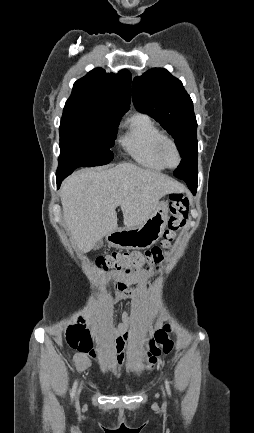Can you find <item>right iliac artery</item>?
<instances>
[{
	"instance_id": "right-iliac-artery-1",
	"label": "right iliac artery",
	"mask_w": 254,
	"mask_h": 433,
	"mask_svg": "<svg viewBox=\"0 0 254 433\" xmlns=\"http://www.w3.org/2000/svg\"><path fill=\"white\" fill-rule=\"evenodd\" d=\"M76 388H77V381L74 382L73 387H72V391H71V398L73 399L76 393Z\"/></svg>"
}]
</instances>
